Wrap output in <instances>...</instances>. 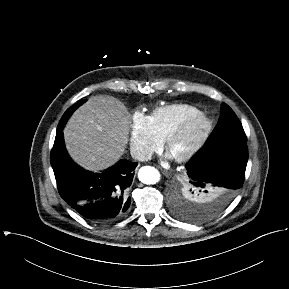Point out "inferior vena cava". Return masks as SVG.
<instances>
[{"label": "inferior vena cava", "mask_w": 289, "mask_h": 289, "mask_svg": "<svg viewBox=\"0 0 289 289\" xmlns=\"http://www.w3.org/2000/svg\"><path fill=\"white\" fill-rule=\"evenodd\" d=\"M131 156L133 159L138 160V161H148L151 159V153L143 150V149H137V148H132L131 149Z\"/></svg>", "instance_id": "1"}]
</instances>
